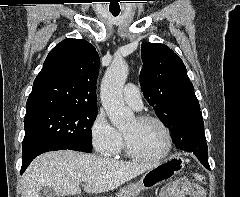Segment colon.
<instances>
[{"instance_id": "5ec220e1", "label": "colon", "mask_w": 240, "mask_h": 197, "mask_svg": "<svg viewBox=\"0 0 240 197\" xmlns=\"http://www.w3.org/2000/svg\"><path fill=\"white\" fill-rule=\"evenodd\" d=\"M193 176H194V179L199 183H203L205 181V177L201 173H194Z\"/></svg>"}]
</instances>
